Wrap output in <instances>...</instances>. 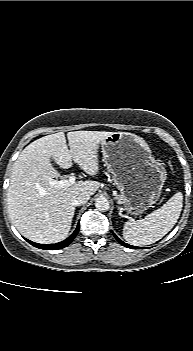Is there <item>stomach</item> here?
<instances>
[{
	"mask_svg": "<svg viewBox=\"0 0 193 351\" xmlns=\"http://www.w3.org/2000/svg\"><path fill=\"white\" fill-rule=\"evenodd\" d=\"M103 161L124 196V210L139 215L155 204L166 180L146 141L128 132H114L102 143Z\"/></svg>",
	"mask_w": 193,
	"mask_h": 351,
	"instance_id": "1",
	"label": "stomach"
}]
</instances>
